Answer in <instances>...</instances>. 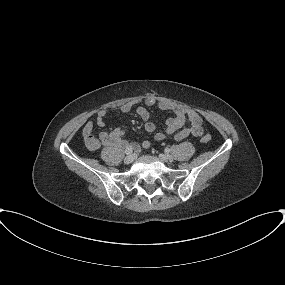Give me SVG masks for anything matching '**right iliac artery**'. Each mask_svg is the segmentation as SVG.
Returning a JSON list of instances; mask_svg holds the SVG:
<instances>
[{
  "label": "right iliac artery",
  "instance_id": "obj_1",
  "mask_svg": "<svg viewBox=\"0 0 285 285\" xmlns=\"http://www.w3.org/2000/svg\"><path fill=\"white\" fill-rule=\"evenodd\" d=\"M132 152H133L132 148H127V149L125 150V153H126L127 155L131 154Z\"/></svg>",
  "mask_w": 285,
  "mask_h": 285
}]
</instances>
